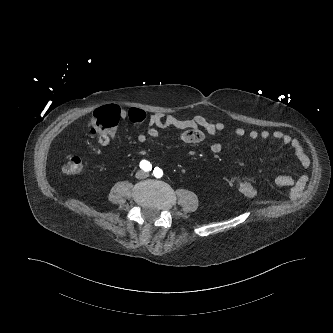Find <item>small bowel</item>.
Listing matches in <instances>:
<instances>
[{
    "label": "small bowel",
    "mask_w": 333,
    "mask_h": 333,
    "mask_svg": "<svg viewBox=\"0 0 333 333\" xmlns=\"http://www.w3.org/2000/svg\"><path fill=\"white\" fill-rule=\"evenodd\" d=\"M120 110V109H119ZM119 116L124 119H128L134 123H138L139 127L146 129V132L139 133L137 141L139 143H145L149 138H158L161 135V131L166 128H175L181 130L177 139L186 144H198L201 143L206 134L213 137L214 140L209 144V150L213 154H218L223 149L222 142L218 139L219 134L226 131L227 126L224 122H211L202 115H196L189 119L178 118L173 115L165 113H154L147 115L145 111L139 108H130L129 110H120ZM234 136L242 138L248 136L251 140H268L276 139L283 144L289 146L295 154L301 167L306 170L309 166V159L304 152V148L300 141L289 134H286L280 130H255L246 131L243 127H235L232 130ZM117 142V136L113 132H108L105 135H100L96 139V144L100 148L107 146H113ZM305 177H289L280 176L276 179V183L279 186L289 187L291 194L294 195L300 191L304 185Z\"/></svg>",
    "instance_id": "obj_1"
}]
</instances>
